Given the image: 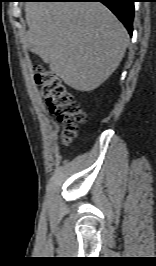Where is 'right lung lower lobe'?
<instances>
[{
    "mask_svg": "<svg viewBox=\"0 0 156 266\" xmlns=\"http://www.w3.org/2000/svg\"><path fill=\"white\" fill-rule=\"evenodd\" d=\"M54 2H101L124 24L130 35L133 30L134 0H36Z\"/></svg>",
    "mask_w": 156,
    "mask_h": 266,
    "instance_id": "1",
    "label": "right lung lower lobe"
}]
</instances>
